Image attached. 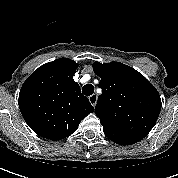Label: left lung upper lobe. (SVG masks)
<instances>
[{
	"instance_id": "1",
	"label": "left lung upper lobe",
	"mask_w": 178,
	"mask_h": 178,
	"mask_svg": "<svg viewBox=\"0 0 178 178\" xmlns=\"http://www.w3.org/2000/svg\"><path fill=\"white\" fill-rule=\"evenodd\" d=\"M101 78L95 114L104 134L120 145L142 140L154 127L161 110L155 87L138 71L120 62L93 64Z\"/></svg>"
}]
</instances>
